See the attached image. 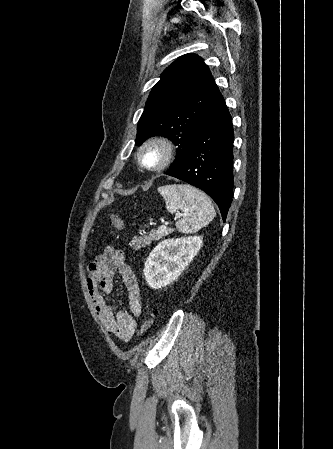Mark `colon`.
Listing matches in <instances>:
<instances>
[{
  "label": "colon",
  "instance_id": "5ec220e1",
  "mask_svg": "<svg viewBox=\"0 0 333 449\" xmlns=\"http://www.w3.org/2000/svg\"><path fill=\"white\" fill-rule=\"evenodd\" d=\"M110 220L113 225V227L117 230H122L124 227V222L122 218L116 214H110ZM157 311L152 310L149 312L147 317L145 318L142 327H141V334H144L148 332L155 324V321L157 319Z\"/></svg>",
  "mask_w": 333,
  "mask_h": 449
}]
</instances>
